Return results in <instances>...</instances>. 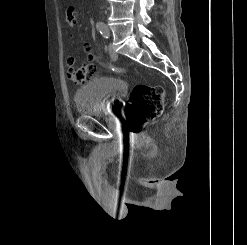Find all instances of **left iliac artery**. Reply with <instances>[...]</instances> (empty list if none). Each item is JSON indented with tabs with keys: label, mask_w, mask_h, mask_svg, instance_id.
<instances>
[{
	"label": "left iliac artery",
	"mask_w": 247,
	"mask_h": 245,
	"mask_svg": "<svg viewBox=\"0 0 247 245\" xmlns=\"http://www.w3.org/2000/svg\"><path fill=\"white\" fill-rule=\"evenodd\" d=\"M96 27H97V30L100 32V34L104 38L109 37V31H108V27L106 26V24H104L103 22H99L97 23Z\"/></svg>",
	"instance_id": "44dca946"
}]
</instances>
